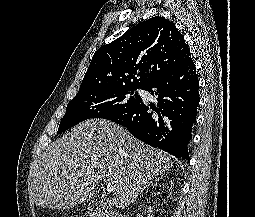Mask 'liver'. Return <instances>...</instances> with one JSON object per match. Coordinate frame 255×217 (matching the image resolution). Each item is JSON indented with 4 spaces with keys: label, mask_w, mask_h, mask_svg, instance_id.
Returning a JSON list of instances; mask_svg holds the SVG:
<instances>
[{
    "label": "liver",
    "mask_w": 255,
    "mask_h": 217,
    "mask_svg": "<svg viewBox=\"0 0 255 217\" xmlns=\"http://www.w3.org/2000/svg\"><path fill=\"white\" fill-rule=\"evenodd\" d=\"M172 166L171 156L123 127L87 120L40 155L31 175V197L38 207L69 209L92 197L99 182L107 180L116 189L113 204L124 208Z\"/></svg>",
    "instance_id": "obj_1"
}]
</instances>
